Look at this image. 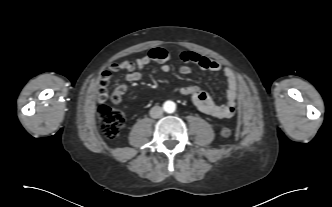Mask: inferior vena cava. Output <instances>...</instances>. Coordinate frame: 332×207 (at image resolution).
Wrapping results in <instances>:
<instances>
[{"label":"inferior vena cava","mask_w":332,"mask_h":207,"mask_svg":"<svg viewBox=\"0 0 332 207\" xmlns=\"http://www.w3.org/2000/svg\"><path fill=\"white\" fill-rule=\"evenodd\" d=\"M163 114V109L160 106H154L150 110V116L152 118H159Z\"/></svg>","instance_id":"1"}]
</instances>
